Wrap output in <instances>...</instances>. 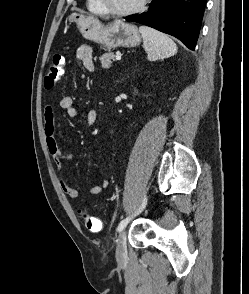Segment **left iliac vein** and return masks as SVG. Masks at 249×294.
I'll return each instance as SVG.
<instances>
[{
    "instance_id": "left-iliac-vein-1",
    "label": "left iliac vein",
    "mask_w": 249,
    "mask_h": 294,
    "mask_svg": "<svg viewBox=\"0 0 249 294\" xmlns=\"http://www.w3.org/2000/svg\"><path fill=\"white\" fill-rule=\"evenodd\" d=\"M127 258L126 232L122 230L117 239L116 259L122 263Z\"/></svg>"
}]
</instances>
